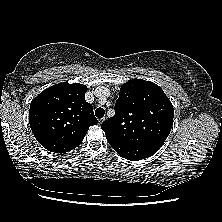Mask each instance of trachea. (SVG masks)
<instances>
[{"mask_svg": "<svg viewBox=\"0 0 222 222\" xmlns=\"http://www.w3.org/2000/svg\"><path fill=\"white\" fill-rule=\"evenodd\" d=\"M105 114V110L103 108H97L95 110V116L98 118H102Z\"/></svg>", "mask_w": 222, "mask_h": 222, "instance_id": "trachea-1", "label": "trachea"}]
</instances>
